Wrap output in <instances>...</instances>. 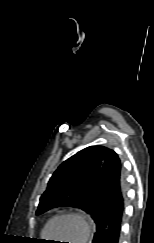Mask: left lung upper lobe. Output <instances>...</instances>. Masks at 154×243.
<instances>
[{"mask_svg":"<svg viewBox=\"0 0 154 243\" xmlns=\"http://www.w3.org/2000/svg\"><path fill=\"white\" fill-rule=\"evenodd\" d=\"M110 152L103 146H90L63 162L50 178L36 214L70 206L87 212L95 222L100 216V209L97 202L91 200L90 189Z\"/></svg>","mask_w":154,"mask_h":243,"instance_id":"1","label":"left lung upper lobe"}]
</instances>
